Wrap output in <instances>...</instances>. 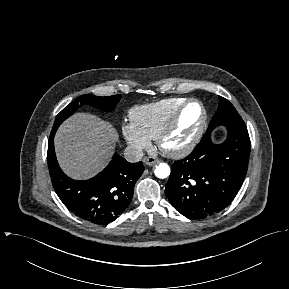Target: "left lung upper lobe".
<instances>
[{"label": "left lung upper lobe", "instance_id": "obj_1", "mask_svg": "<svg viewBox=\"0 0 289 289\" xmlns=\"http://www.w3.org/2000/svg\"><path fill=\"white\" fill-rule=\"evenodd\" d=\"M224 125L239 129H247L244 121L234 108V106L225 98L219 96V107L210 121L208 129L213 130L216 126Z\"/></svg>", "mask_w": 289, "mask_h": 289}]
</instances>
